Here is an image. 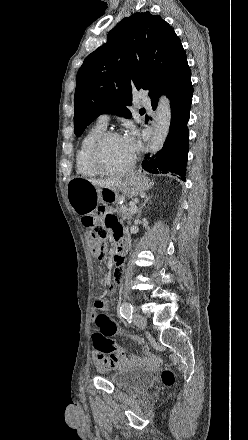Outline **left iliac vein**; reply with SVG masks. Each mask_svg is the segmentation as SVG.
Here are the masks:
<instances>
[{
  "instance_id": "left-iliac-vein-1",
  "label": "left iliac vein",
  "mask_w": 248,
  "mask_h": 440,
  "mask_svg": "<svg viewBox=\"0 0 248 440\" xmlns=\"http://www.w3.org/2000/svg\"><path fill=\"white\" fill-rule=\"evenodd\" d=\"M133 322L136 326L144 328L147 324V319L145 316L141 315L139 312L135 311L133 314Z\"/></svg>"
}]
</instances>
